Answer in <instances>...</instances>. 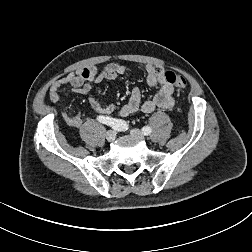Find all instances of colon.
I'll list each match as a JSON object with an SVG mask.
<instances>
[{
  "label": "colon",
  "instance_id": "1",
  "mask_svg": "<svg viewBox=\"0 0 252 252\" xmlns=\"http://www.w3.org/2000/svg\"><path fill=\"white\" fill-rule=\"evenodd\" d=\"M165 79L174 87L178 89H184L187 85V82L185 78L175 72L168 71L165 73ZM107 107L112 112V114H133L136 111H138V108L136 105H128V104H122L118 105L116 103L110 102L107 104Z\"/></svg>",
  "mask_w": 252,
  "mask_h": 252
}]
</instances>
